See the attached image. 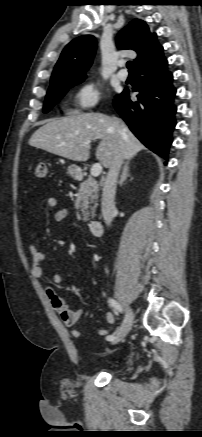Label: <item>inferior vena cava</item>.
Segmentation results:
<instances>
[{"mask_svg": "<svg viewBox=\"0 0 202 437\" xmlns=\"http://www.w3.org/2000/svg\"><path fill=\"white\" fill-rule=\"evenodd\" d=\"M122 163L123 159L119 158L111 165L103 185L101 210L103 219L107 225L111 224L113 214L116 210L114 202L116 184Z\"/></svg>", "mask_w": 202, "mask_h": 437, "instance_id": "1", "label": "inferior vena cava"}]
</instances>
